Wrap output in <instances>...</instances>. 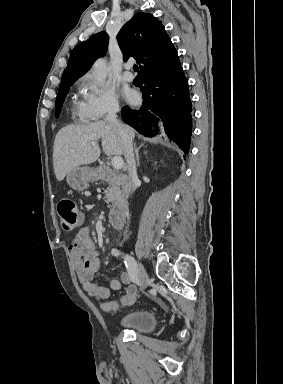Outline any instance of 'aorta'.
I'll list each match as a JSON object with an SVG mask.
<instances>
[{"mask_svg": "<svg viewBox=\"0 0 283 384\" xmlns=\"http://www.w3.org/2000/svg\"><path fill=\"white\" fill-rule=\"evenodd\" d=\"M107 64L105 59H98L93 65V73L95 79L99 83H104L107 76Z\"/></svg>", "mask_w": 283, "mask_h": 384, "instance_id": "aorta-1", "label": "aorta"}]
</instances>
